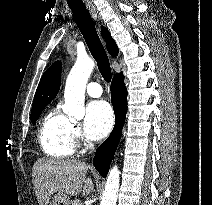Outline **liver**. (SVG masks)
<instances>
[{
  "label": "liver",
  "mask_w": 212,
  "mask_h": 205,
  "mask_svg": "<svg viewBox=\"0 0 212 205\" xmlns=\"http://www.w3.org/2000/svg\"><path fill=\"white\" fill-rule=\"evenodd\" d=\"M88 165L77 160L42 158L33 166L34 190L39 205H48L52 194L89 195L93 190L91 178H86Z\"/></svg>",
  "instance_id": "6515ba94"
}]
</instances>
